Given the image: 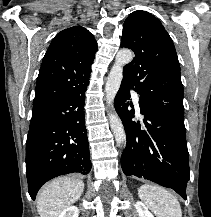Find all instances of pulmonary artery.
Masks as SVG:
<instances>
[{
  "label": "pulmonary artery",
  "mask_w": 211,
  "mask_h": 217,
  "mask_svg": "<svg viewBox=\"0 0 211 217\" xmlns=\"http://www.w3.org/2000/svg\"><path fill=\"white\" fill-rule=\"evenodd\" d=\"M133 99H134V103L136 105V108L139 110V98H138V94L136 92H133Z\"/></svg>",
  "instance_id": "e3ab8cb5"
}]
</instances>
